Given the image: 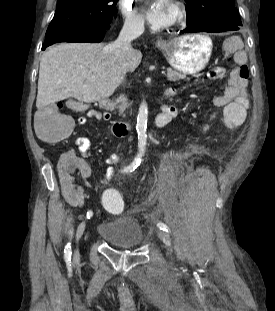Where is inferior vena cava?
Wrapping results in <instances>:
<instances>
[{"label": "inferior vena cava", "mask_w": 275, "mask_h": 311, "mask_svg": "<svg viewBox=\"0 0 275 311\" xmlns=\"http://www.w3.org/2000/svg\"><path fill=\"white\" fill-rule=\"evenodd\" d=\"M144 32V22L142 20H129L124 26L115 42L109 45L116 57L124 60L132 51L131 41L139 37ZM124 76L122 77V79Z\"/></svg>", "instance_id": "602c4592"}]
</instances>
